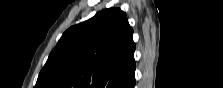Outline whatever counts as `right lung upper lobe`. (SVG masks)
Wrapping results in <instances>:
<instances>
[{"label": "right lung upper lobe", "instance_id": "right-lung-upper-lobe-1", "mask_svg": "<svg viewBox=\"0 0 223 88\" xmlns=\"http://www.w3.org/2000/svg\"><path fill=\"white\" fill-rule=\"evenodd\" d=\"M133 30L119 8L98 12L60 38L35 88H128L135 73Z\"/></svg>", "mask_w": 223, "mask_h": 88}]
</instances>
